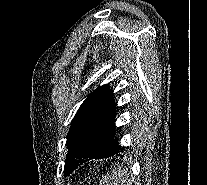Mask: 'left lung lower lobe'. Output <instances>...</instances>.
<instances>
[{
  "mask_svg": "<svg viewBox=\"0 0 207 185\" xmlns=\"http://www.w3.org/2000/svg\"><path fill=\"white\" fill-rule=\"evenodd\" d=\"M120 152H123V149L118 145L117 138L113 136L108 147L104 151L84 155L66 174L73 172L79 165L88 161V159H103L112 156H119L118 153Z\"/></svg>",
  "mask_w": 207,
  "mask_h": 185,
  "instance_id": "0a47b994",
  "label": "left lung lower lobe"
}]
</instances>
